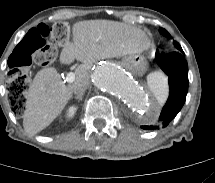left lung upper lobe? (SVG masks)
I'll use <instances>...</instances> for the list:
<instances>
[{
    "label": "left lung upper lobe",
    "instance_id": "1",
    "mask_svg": "<svg viewBox=\"0 0 215 183\" xmlns=\"http://www.w3.org/2000/svg\"><path fill=\"white\" fill-rule=\"evenodd\" d=\"M159 31H160V33H161L162 35H164V36L167 37L168 39H171V38H172L171 35H170L165 29L160 28ZM174 46L177 48L178 51H183L182 48H181V46H180L177 42L174 43Z\"/></svg>",
    "mask_w": 215,
    "mask_h": 183
}]
</instances>
